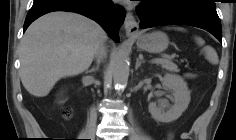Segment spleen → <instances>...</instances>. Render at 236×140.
Instances as JSON below:
<instances>
[{
	"label": "spleen",
	"mask_w": 236,
	"mask_h": 140,
	"mask_svg": "<svg viewBox=\"0 0 236 140\" xmlns=\"http://www.w3.org/2000/svg\"><path fill=\"white\" fill-rule=\"evenodd\" d=\"M178 30H183L182 28H177ZM195 40L197 42L198 45H204L205 42L202 38L200 37H195ZM203 52L205 53V57L213 64H216L218 62V56L216 51L210 47V46H206L203 49Z\"/></svg>",
	"instance_id": "1"
}]
</instances>
